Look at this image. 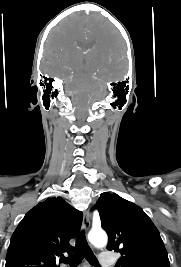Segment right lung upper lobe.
Listing matches in <instances>:
<instances>
[{
  "instance_id": "1",
  "label": "right lung upper lobe",
  "mask_w": 181,
  "mask_h": 267,
  "mask_svg": "<svg viewBox=\"0 0 181 267\" xmlns=\"http://www.w3.org/2000/svg\"><path fill=\"white\" fill-rule=\"evenodd\" d=\"M83 214L61 197L39 203L24 216L11 237L5 267H58L80 229Z\"/></svg>"
}]
</instances>
